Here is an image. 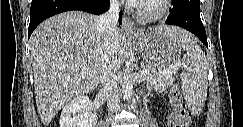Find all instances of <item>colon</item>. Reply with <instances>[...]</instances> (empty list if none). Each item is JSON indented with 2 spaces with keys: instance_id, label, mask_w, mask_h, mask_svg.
Instances as JSON below:
<instances>
[{
  "instance_id": "colon-1",
  "label": "colon",
  "mask_w": 243,
  "mask_h": 127,
  "mask_svg": "<svg viewBox=\"0 0 243 127\" xmlns=\"http://www.w3.org/2000/svg\"><path fill=\"white\" fill-rule=\"evenodd\" d=\"M172 111L169 115V125L172 127L191 126V114L182 100V96L176 86L170 91Z\"/></svg>"
}]
</instances>
